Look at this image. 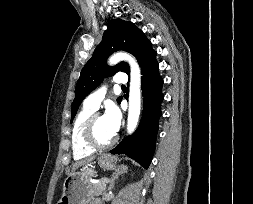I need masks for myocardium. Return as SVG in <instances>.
<instances>
[{
  "mask_svg": "<svg viewBox=\"0 0 253 204\" xmlns=\"http://www.w3.org/2000/svg\"><path fill=\"white\" fill-rule=\"evenodd\" d=\"M100 116H102L100 113L94 112L90 116V118L87 120L85 128H84V140L87 143V145H89L91 148L95 150L96 149L103 150V149L110 148L116 143L118 139L117 135H114L109 141L105 143L98 141L95 135V125H96L97 118Z\"/></svg>",
  "mask_w": 253,
  "mask_h": 204,
  "instance_id": "f54148a6",
  "label": "myocardium"
}]
</instances>
